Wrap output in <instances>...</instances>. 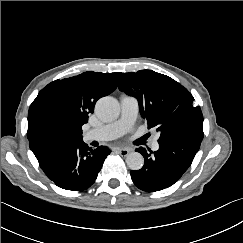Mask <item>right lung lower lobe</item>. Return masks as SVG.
I'll list each match as a JSON object with an SVG mask.
<instances>
[{
  "label": "right lung lower lobe",
  "mask_w": 243,
  "mask_h": 243,
  "mask_svg": "<svg viewBox=\"0 0 243 243\" xmlns=\"http://www.w3.org/2000/svg\"><path fill=\"white\" fill-rule=\"evenodd\" d=\"M28 139L47 177L58 187L72 191L89 188L110 154L104 146L93 150L82 139L72 140L52 132L39 133Z\"/></svg>",
  "instance_id": "obj_1"
}]
</instances>
